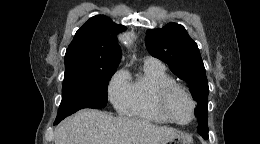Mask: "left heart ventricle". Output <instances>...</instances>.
Listing matches in <instances>:
<instances>
[{
    "instance_id": "b2bd125f",
    "label": "left heart ventricle",
    "mask_w": 260,
    "mask_h": 144,
    "mask_svg": "<svg viewBox=\"0 0 260 144\" xmlns=\"http://www.w3.org/2000/svg\"><path fill=\"white\" fill-rule=\"evenodd\" d=\"M167 108L172 117L180 122L191 118V103L182 92L178 91L170 96Z\"/></svg>"
}]
</instances>
